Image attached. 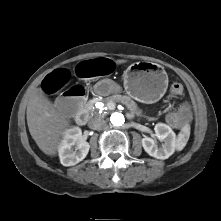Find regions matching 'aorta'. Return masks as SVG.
I'll list each match as a JSON object with an SVG mask.
<instances>
[{
	"label": "aorta",
	"instance_id": "aorta-1",
	"mask_svg": "<svg viewBox=\"0 0 221 221\" xmlns=\"http://www.w3.org/2000/svg\"><path fill=\"white\" fill-rule=\"evenodd\" d=\"M110 121L114 126H121L125 122V118L122 113L115 112L111 115Z\"/></svg>",
	"mask_w": 221,
	"mask_h": 221
}]
</instances>
